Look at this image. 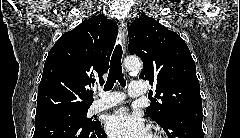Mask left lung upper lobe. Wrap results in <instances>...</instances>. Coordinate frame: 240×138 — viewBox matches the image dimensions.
<instances>
[{
  "instance_id": "obj_1",
  "label": "left lung upper lobe",
  "mask_w": 240,
  "mask_h": 138,
  "mask_svg": "<svg viewBox=\"0 0 240 138\" xmlns=\"http://www.w3.org/2000/svg\"><path fill=\"white\" fill-rule=\"evenodd\" d=\"M130 54L143 61L139 78L155 88L154 101L146 113L160 126L175 111L202 106L196 66L184 40L155 19L141 15L128 28Z\"/></svg>"
}]
</instances>
